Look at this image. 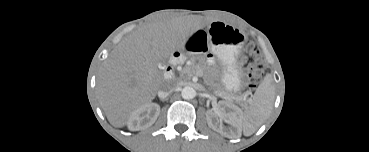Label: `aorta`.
I'll return each instance as SVG.
<instances>
[{"instance_id": "1", "label": "aorta", "mask_w": 369, "mask_h": 152, "mask_svg": "<svg viewBox=\"0 0 369 152\" xmlns=\"http://www.w3.org/2000/svg\"><path fill=\"white\" fill-rule=\"evenodd\" d=\"M181 96L183 99H193L195 97V90L190 86H186L181 90Z\"/></svg>"}]
</instances>
